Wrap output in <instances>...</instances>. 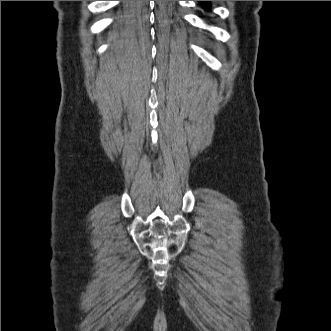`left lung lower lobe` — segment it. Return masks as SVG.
I'll list each match as a JSON object with an SVG mask.
<instances>
[{"mask_svg":"<svg viewBox=\"0 0 331 331\" xmlns=\"http://www.w3.org/2000/svg\"><path fill=\"white\" fill-rule=\"evenodd\" d=\"M200 3L204 6H208L209 5V1H200Z\"/></svg>","mask_w":331,"mask_h":331,"instance_id":"left-lung-lower-lobe-1","label":"left lung lower lobe"}]
</instances>
